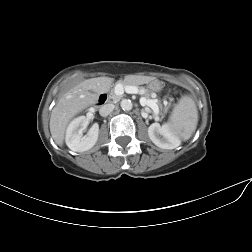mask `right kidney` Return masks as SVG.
I'll use <instances>...</instances> for the list:
<instances>
[{
    "label": "right kidney",
    "instance_id": "right-kidney-1",
    "mask_svg": "<svg viewBox=\"0 0 252 252\" xmlns=\"http://www.w3.org/2000/svg\"><path fill=\"white\" fill-rule=\"evenodd\" d=\"M87 125V118L79 116L69 124L66 130L65 141L70 150L74 152H84L91 149L98 140L99 125L94 123L88 133L83 136V131Z\"/></svg>",
    "mask_w": 252,
    "mask_h": 252
}]
</instances>
